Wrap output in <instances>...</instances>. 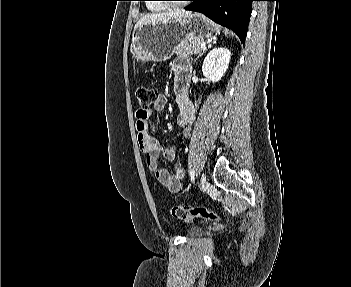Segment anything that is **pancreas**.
I'll list each match as a JSON object with an SVG mask.
<instances>
[{
    "mask_svg": "<svg viewBox=\"0 0 351 287\" xmlns=\"http://www.w3.org/2000/svg\"><path fill=\"white\" fill-rule=\"evenodd\" d=\"M204 41L202 39H194L189 42H182L175 47L174 53L177 57H187L189 55L200 53L202 51L201 43Z\"/></svg>",
    "mask_w": 351,
    "mask_h": 287,
    "instance_id": "cf45deb5",
    "label": "pancreas"
}]
</instances>
